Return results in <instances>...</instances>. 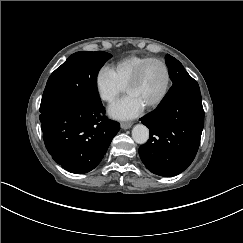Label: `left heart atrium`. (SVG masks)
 <instances>
[{
  "instance_id": "39dd6f15",
  "label": "left heart atrium",
  "mask_w": 243,
  "mask_h": 243,
  "mask_svg": "<svg viewBox=\"0 0 243 243\" xmlns=\"http://www.w3.org/2000/svg\"><path fill=\"white\" fill-rule=\"evenodd\" d=\"M145 108V104L134 95H128L123 99L111 103L107 110L115 119H132L139 116Z\"/></svg>"
}]
</instances>
